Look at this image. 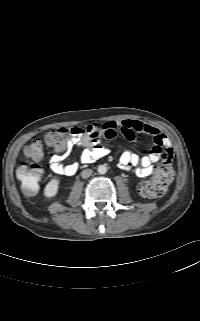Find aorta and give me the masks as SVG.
<instances>
[{
  "instance_id": "1",
  "label": "aorta",
  "mask_w": 200,
  "mask_h": 321,
  "mask_svg": "<svg viewBox=\"0 0 200 321\" xmlns=\"http://www.w3.org/2000/svg\"><path fill=\"white\" fill-rule=\"evenodd\" d=\"M97 171L99 174H105L107 172V167L105 165H99Z\"/></svg>"
}]
</instances>
